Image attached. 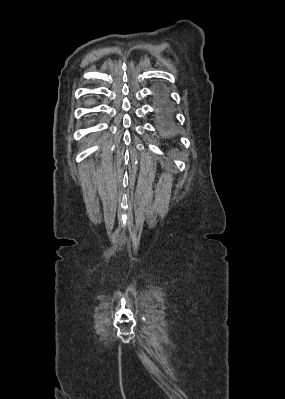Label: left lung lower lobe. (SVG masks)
Returning <instances> with one entry per match:
<instances>
[{
  "instance_id": "0a47b994",
  "label": "left lung lower lobe",
  "mask_w": 285,
  "mask_h": 399,
  "mask_svg": "<svg viewBox=\"0 0 285 399\" xmlns=\"http://www.w3.org/2000/svg\"><path fill=\"white\" fill-rule=\"evenodd\" d=\"M160 116H161V124H160L161 131L165 134H171L172 128L169 125V123L166 121V109L165 108L161 109Z\"/></svg>"
}]
</instances>
